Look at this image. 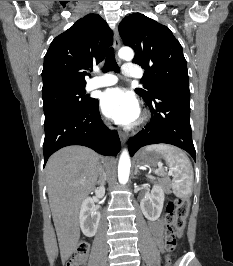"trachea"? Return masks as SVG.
<instances>
[{"label":"trachea","mask_w":233,"mask_h":266,"mask_svg":"<svg viewBox=\"0 0 233 266\" xmlns=\"http://www.w3.org/2000/svg\"><path fill=\"white\" fill-rule=\"evenodd\" d=\"M110 70L118 73L120 71L119 66L116 63L115 60V55H114V50L113 48H110L107 52V56H106V60H105V64H104V68H103V72L107 73Z\"/></svg>","instance_id":"3493384b"}]
</instances>
